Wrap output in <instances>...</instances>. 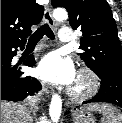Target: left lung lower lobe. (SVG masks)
I'll list each match as a JSON object with an SVG mask.
<instances>
[{
  "mask_svg": "<svg viewBox=\"0 0 122 123\" xmlns=\"http://www.w3.org/2000/svg\"><path fill=\"white\" fill-rule=\"evenodd\" d=\"M96 74L101 79V88L95 97L84 104L107 102L122 107V70L109 69Z\"/></svg>",
  "mask_w": 122,
  "mask_h": 123,
  "instance_id": "left-lung-lower-lobe-1",
  "label": "left lung lower lobe"
}]
</instances>
